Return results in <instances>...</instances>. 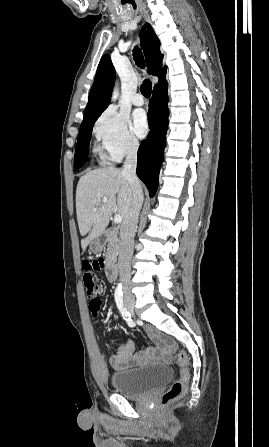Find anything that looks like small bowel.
I'll return each instance as SVG.
<instances>
[{"instance_id": "small-bowel-1", "label": "small bowel", "mask_w": 269, "mask_h": 447, "mask_svg": "<svg viewBox=\"0 0 269 447\" xmlns=\"http://www.w3.org/2000/svg\"><path fill=\"white\" fill-rule=\"evenodd\" d=\"M146 333L153 340L154 345L148 346L144 351L134 353V344L132 341H126L110 358V365L117 371L129 369L137 365L144 364L148 361L157 363L170 362V352L174 345L166 346L163 338L167 339L169 334L147 326L145 328Z\"/></svg>"}]
</instances>
